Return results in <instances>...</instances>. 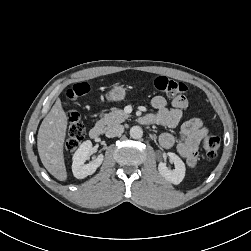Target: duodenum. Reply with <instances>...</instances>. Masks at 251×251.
Listing matches in <instances>:
<instances>
[{"label":"duodenum","mask_w":251,"mask_h":251,"mask_svg":"<svg viewBox=\"0 0 251 251\" xmlns=\"http://www.w3.org/2000/svg\"><path fill=\"white\" fill-rule=\"evenodd\" d=\"M139 121L141 124H144V125H150L153 123L152 118L148 115L141 117ZM102 132H103L102 127L97 125L90 129L89 136L92 139H98L102 135Z\"/></svg>","instance_id":"obj_1"}]
</instances>
